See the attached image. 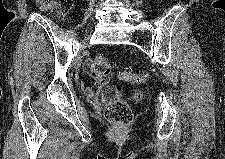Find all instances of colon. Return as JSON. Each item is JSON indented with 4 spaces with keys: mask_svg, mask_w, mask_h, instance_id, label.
I'll return each instance as SVG.
<instances>
[{
    "mask_svg": "<svg viewBox=\"0 0 225 159\" xmlns=\"http://www.w3.org/2000/svg\"><path fill=\"white\" fill-rule=\"evenodd\" d=\"M40 6L49 11H56L60 16L65 15L72 7L73 0H39ZM114 64L101 54H98L92 61L94 75L99 80L109 77ZM121 81L132 84H144L149 80L148 72H136L131 68H125L118 72ZM142 92L134 94L136 102L141 101ZM104 104V116L107 121L116 126H123L132 120V111L129 105L121 100L120 88L118 86L107 87L102 94Z\"/></svg>",
    "mask_w": 225,
    "mask_h": 159,
    "instance_id": "5ec220e1",
    "label": "colon"
}]
</instances>
